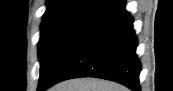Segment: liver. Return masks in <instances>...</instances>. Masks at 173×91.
<instances>
[{
	"mask_svg": "<svg viewBox=\"0 0 173 91\" xmlns=\"http://www.w3.org/2000/svg\"><path fill=\"white\" fill-rule=\"evenodd\" d=\"M49 91H128L124 86L97 78H78L60 82Z\"/></svg>",
	"mask_w": 173,
	"mask_h": 91,
	"instance_id": "6515ba94",
	"label": "liver"
}]
</instances>
